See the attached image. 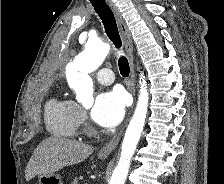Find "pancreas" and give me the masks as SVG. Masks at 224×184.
<instances>
[{
	"mask_svg": "<svg viewBox=\"0 0 224 184\" xmlns=\"http://www.w3.org/2000/svg\"><path fill=\"white\" fill-rule=\"evenodd\" d=\"M71 184H78V179L77 178L73 179Z\"/></svg>",
	"mask_w": 224,
	"mask_h": 184,
	"instance_id": "obj_1",
	"label": "pancreas"
}]
</instances>
